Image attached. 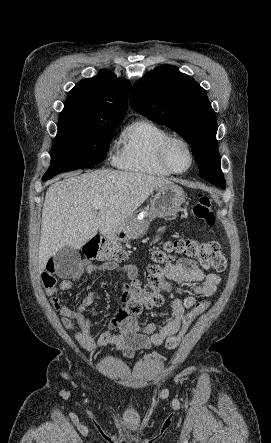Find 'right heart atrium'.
Returning <instances> with one entry per match:
<instances>
[{
    "instance_id": "1",
    "label": "right heart atrium",
    "mask_w": 271,
    "mask_h": 443,
    "mask_svg": "<svg viewBox=\"0 0 271 443\" xmlns=\"http://www.w3.org/2000/svg\"><path fill=\"white\" fill-rule=\"evenodd\" d=\"M107 150L108 155L111 157L113 155V152L115 150V141L114 138L111 136L107 142Z\"/></svg>"
}]
</instances>
